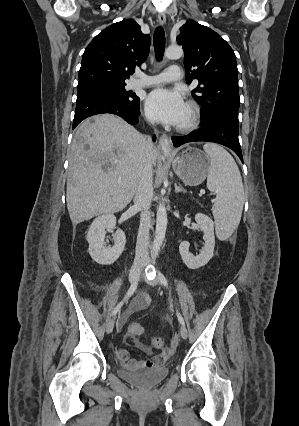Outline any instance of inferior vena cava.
<instances>
[{"mask_svg": "<svg viewBox=\"0 0 299 426\" xmlns=\"http://www.w3.org/2000/svg\"><path fill=\"white\" fill-rule=\"evenodd\" d=\"M148 154L134 198V206L140 211V225L133 267L141 268L149 263V231L151 228L150 206L153 196V173L151 152L153 144L147 139Z\"/></svg>", "mask_w": 299, "mask_h": 426, "instance_id": "602c4592", "label": "inferior vena cava"}]
</instances>
